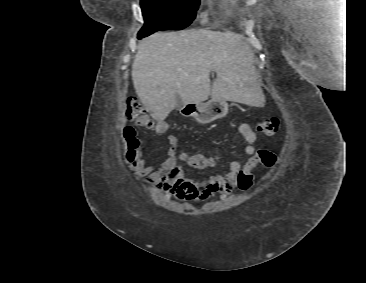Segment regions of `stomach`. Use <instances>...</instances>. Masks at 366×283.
Returning <instances> with one entry per match:
<instances>
[{"label": "stomach", "mask_w": 366, "mask_h": 283, "mask_svg": "<svg viewBox=\"0 0 366 283\" xmlns=\"http://www.w3.org/2000/svg\"><path fill=\"white\" fill-rule=\"evenodd\" d=\"M181 110L191 109L190 115L200 124H208L217 119L223 118L228 113L226 100L212 98L206 103L183 104Z\"/></svg>", "instance_id": "obj_1"}]
</instances>
